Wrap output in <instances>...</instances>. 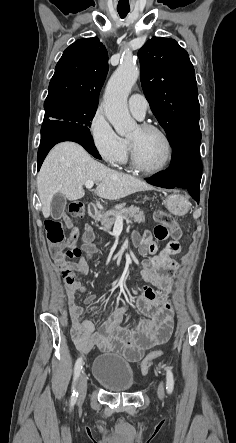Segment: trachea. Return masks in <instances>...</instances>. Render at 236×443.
Here are the masks:
<instances>
[{
	"mask_svg": "<svg viewBox=\"0 0 236 443\" xmlns=\"http://www.w3.org/2000/svg\"><path fill=\"white\" fill-rule=\"evenodd\" d=\"M117 11H118L121 18H125L130 10L129 9H117Z\"/></svg>",
	"mask_w": 236,
	"mask_h": 443,
	"instance_id": "3493384b",
	"label": "trachea"
}]
</instances>
